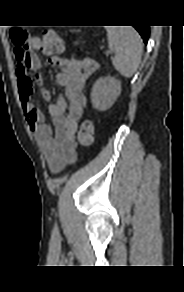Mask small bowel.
<instances>
[{"label":"small bowel","mask_w":184,"mask_h":292,"mask_svg":"<svg viewBox=\"0 0 184 292\" xmlns=\"http://www.w3.org/2000/svg\"><path fill=\"white\" fill-rule=\"evenodd\" d=\"M40 45L39 38H30L25 59L15 56L16 77L26 122L44 152L50 171L58 173L76 160L75 133L86 103L83 88L88 78L97 70L98 64L92 59L75 55L50 58L49 63L60 69L56 82L65 91L64 97H59L48 106L52 119L50 126L45 122L44 114L31 101L35 83L41 85L40 75L35 73L32 76L29 73L36 72L41 67V61L34 52ZM40 94L43 100L50 101L51 95L47 89L41 88Z\"/></svg>","instance_id":"c3829d8e"}]
</instances>
